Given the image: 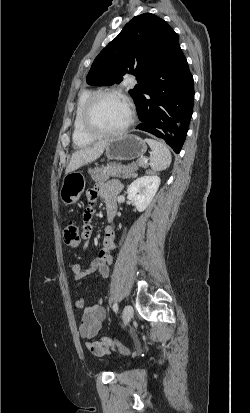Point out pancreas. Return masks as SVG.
<instances>
[{"label": "pancreas", "instance_id": "pancreas-1", "mask_svg": "<svg viewBox=\"0 0 250 413\" xmlns=\"http://www.w3.org/2000/svg\"><path fill=\"white\" fill-rule=\"evenodd\" d=\"M146 167L147 164L143 162L142 159H138L136 163L128 164L127 166L121 164H107L100 167H95L89 169L93 181L96 183L104 182L109 179V177H119V178H130L136 176L138 167Z\"/></svg>", "mask_w": 250, "mask_h": 413}]
</instances>
